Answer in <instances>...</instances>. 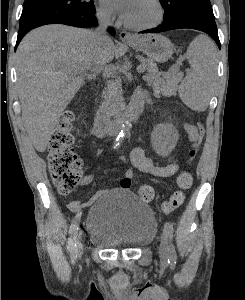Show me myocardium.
<instances>
[{
	"instance_id": "1",
	"label": "myocardium",
	"mask_w": 245,
	"mask_h": 300,
	"mask_svg": "<svg viewBox=\"0 0 245 300\" xmlns=\"http://www.w3.org/2000/svg\"><path fill=\"white\" fill-rule=\"evenodd\" d=\"M151 2L156 7L157 13H158L157 18L152 23L139 25V24L129 23L125 19H123L124 25L127 28L135 30V31H145V30H150V29L158 27L164 20L165 10H164V7L160 0H151Z\"/></svg>"
}]
</instances>
